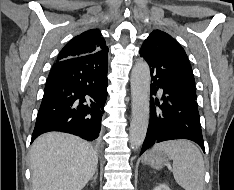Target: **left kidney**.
Here are the masks:
<instances>
[{"instance_id": "1", "label": "left kidney", "mask_w": 234, "mask_h": 190, "mask_svg": "<svg viewBox=\"0 0 234 190\" xmlns=\"http://www.w3.org/2000/svg\"><path fill=\"white\" fill-rule=\"evenodd\" d=\"M153 190H170V188L166 184H159Z\"/></svg>"}]
</instances>
